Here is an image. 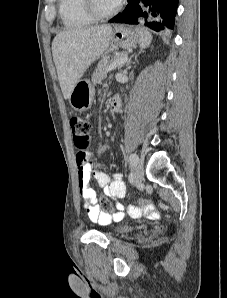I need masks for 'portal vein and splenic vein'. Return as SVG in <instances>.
<instances>
[{
    "label": "portal vein and splenic vein",
    "mask_w": 227,
    "mask_h": 298,
    "mask_svg": "<svg viewBox=\"0 0 227 298\" xmlns=\"http://www.w3.org/2000/svg\"><path fill=\"white\" fill-rule=\"evenodd\" d=\"M128 57L126 55L120 57L119 59H117L116 61H114L109 68L107 69V73L113 69H115L116 67H118L121 64H124L127 61Z\"/></svg>",
    "instance_id": "1"
}]
</instances>
